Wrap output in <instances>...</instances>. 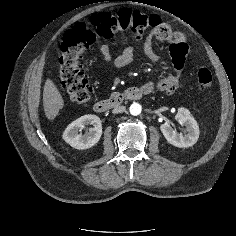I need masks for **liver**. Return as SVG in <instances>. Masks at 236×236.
<instances>
[{
  "instance_id": "6515ba94",
  "label": "liver",
  "mask_w": 236,
  "mask_h": 236,
  "mask_svg": "<svg viewBox=\"0 0 236 236\" xmlns=\"http://www.w3.org/2000/svg\"><path fill=\"white\" fill-rule=\"evenodd\" d=\"M43 106L45 115L49 120H54L64 107V100L51 79H47L44 85Z\"/></svg>"
}]
</instances>
